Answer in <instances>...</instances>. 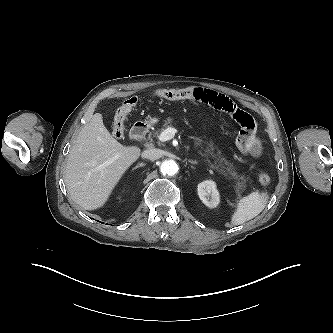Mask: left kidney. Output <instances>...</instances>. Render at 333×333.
Masks as SVG:
<instances>
[{
    "mask_svg": "<svg viewBox=\"0 0 333 333\" xmlns=\"http://www.w3.org/2000/svg\"><path fill=\"white\" fill-rule=\"evenodd\" d=\"M198 195L200 200L209 208H215L219 204V192L212 180H205L198 184Z\"/></svg>",
    "mask_w": 333,
    "mask_h": 333,
    "instance_id": "5707ae66",
    "label": "left kidney"
}]
</instances>
